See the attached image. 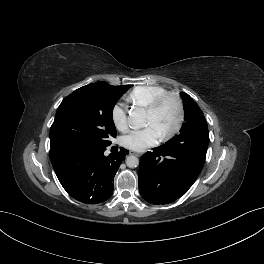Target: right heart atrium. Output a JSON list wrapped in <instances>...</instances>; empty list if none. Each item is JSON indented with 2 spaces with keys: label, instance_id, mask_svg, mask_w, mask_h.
Segmentation results:
<instances>
[{
  "label": "right heart atrium",
  "instance_id": "1",
  "mask_svg": "<svg viewBox=\"0 0 264 264\" xmlns=\"http://www.w3.org/2000/svg\"><path fill=\"white\" fill-rule=\"evenodd\" d=\"M112 122L115 128L119 131H125L128 127L126 110L120 106L115 105L111 112Z\"/></svg>",
  "mask_w": 264,
  "mask_h": 264
}]
</instances>
